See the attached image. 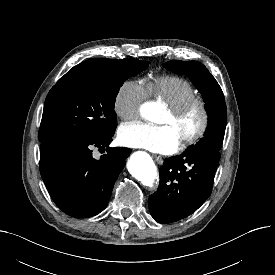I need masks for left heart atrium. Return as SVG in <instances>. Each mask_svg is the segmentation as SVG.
<instances>
[{"label": "left heart atrium", "instance_id": "left-heart-atrium-1", "mask_svg": "<svg viewBox=\"0 0 275 275\" xmlns=\"http://www.w3.org/2000/svg\"><path fill=\"white\" fill-rule=\"evenodd\" d=\"M118 140L125 146L145 148L158 153H172L180 143L170 126L140 121L121 125Z\"/></svg>", "mask_w": 275, "mask_h": 275}]
</instances>
